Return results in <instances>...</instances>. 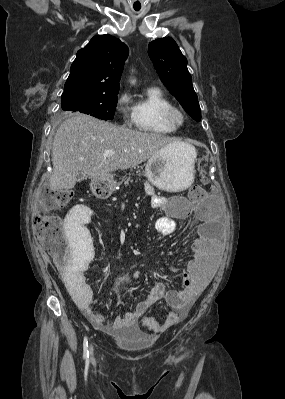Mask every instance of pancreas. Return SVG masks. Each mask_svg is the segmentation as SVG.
<instances>
[{"mask_svg":"<svg viewBox=\"0 0 285 399\" xmlns=\"http://www.w3.org/2000/svg\"><path fill=\"white\" fill-rule=\"evenodd\" d=\"M129 182H132V180L130 178H127L125 181V185L127 186L129 184Z\"/></svg>","mask_w":285,"mask_h":399,"instance_id":"1","label":"pancreas"}]
</instances>
